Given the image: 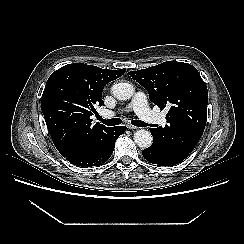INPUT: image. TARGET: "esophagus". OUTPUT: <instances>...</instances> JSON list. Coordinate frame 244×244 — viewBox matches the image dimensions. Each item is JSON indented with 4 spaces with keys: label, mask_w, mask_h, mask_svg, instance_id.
Wrapping results in <instances>:
<instances>
[{
    "label": "esophagus",
    "mask_w": 244,
    "mask_h": 244,
    "mask_svg": "<svg viewBox=\"0 0 244 244\" xmlns=\"http://www.w3.org/2000/svg\"><path fill=\"white\" fill-rule=\"evenodd\" d=\"M127 128L130 129V130L137 129L136 126L131 125V124H127Z\"/></svg>",
    "instance_id": "obj_1"
}]
</instances>
